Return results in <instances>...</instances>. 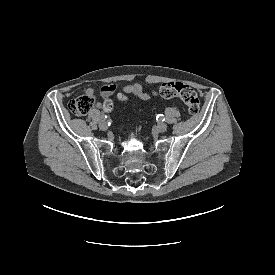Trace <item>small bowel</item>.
I'll use <instances>...</instances> for the list:
<instances>
[{
    "instance_id": "c3829d8e",
    "label": "small bowel",
    "mask_w": 275,
    "mask_h": 275,
    "mask_svg": "<svg viewBox=\"0 0 275 275\" xmlns=\"http://www.w3.org/2000/svg\"><path fill=\"white\" fill-rule=\"evenodd\" d=\"M116 88H117V85L115 83L103 84V86L101 87V90H100V94H101L102 98H108L109 96H111L114 93V91L116 90ZM122 91L125 94H131L135 98L141 99L144 101L151 99V95L149 93L145 92L143 89V86L138 82L124 85L122 87ZM85 93L87 95H93L94 91L92 88H88V89H86ZM96 108L101 109L102 103H100V102L96 103Z\"/></svg>"
}]
</instances>
